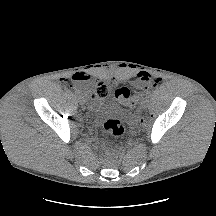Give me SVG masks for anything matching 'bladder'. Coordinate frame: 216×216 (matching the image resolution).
Wrapping results in <instances>:
<instances>
[{"label": "bladder", "mask_w": 216, "mask_h": 216, "mask_svg": "<svg viewBox=\"0 0 216 216\" xmlns=\"http://www.w3.org/2000/svg\"><path fill=\"white\" fill-rule=\"evenodd\" d=\"M108 109L110 111H113V112H119L120 111V103L118 101H114L109 105Z\"/></svg>", "instance_id": "bladder-1"}]
</instances>
